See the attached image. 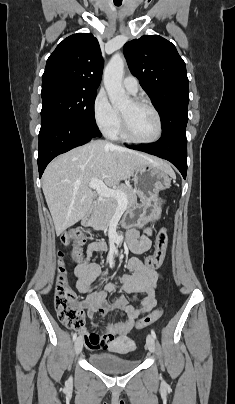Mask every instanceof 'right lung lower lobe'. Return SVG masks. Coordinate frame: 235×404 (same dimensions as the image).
Masks as SVG:
<instances>
[{"label":"right lung lower lobe","mask_w":235,"mask_h":404,"mask_svg":"<svg viewBox=\"0 0 235 404\" xmlns=\"http://www.w3.org/2000/svg\"><path fill=\"white\" fill-rule=\"evenodd\" d=\"M99 136L101 133L97 126L92 127L63 120L41 124L38 152L39 176H42L48 163L57 155Z\"/></svg>","instance_id":"98d812e1"}]
</instances>
